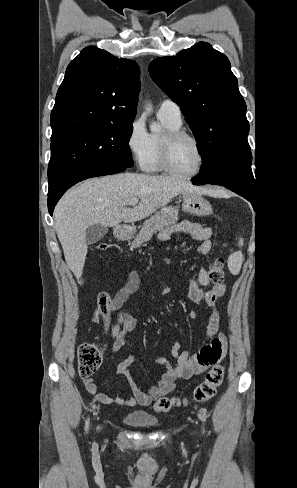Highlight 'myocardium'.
Listing matches in <instances>:
<instances>
[{"instance_id": "f54148a6", "label": "myocardium", "mask_w": 297, "mask_h": 488, "mask_svg": "<svg viewBox=\"0 0 297 488\" xmlns=\"http://www.w3.org/2000/svg\"><path fill=\"white\" fill-rule=\"evenodd\" d=\"M187 139L194 143L198 150L199 162L197 167L189 173H181L177 171L172 165V150L174 145L182 140ZM206 155L201 142L191 133L185 130L169 131L160 141V164L164 171L167 173L179 177V178H192L197 176L205 165Z\"/></svg>"}]
</instances>
